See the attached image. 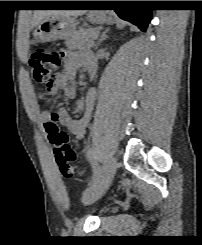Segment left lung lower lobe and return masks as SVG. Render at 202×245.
I'll return each mask as SVG.
<instances>
[{
	"mask_svg": "<svg viewBox=\"0 0 202 245\" xmlns=\"http://www.w3.org/2000/svg\"><path fill=\"white\" fill-rule=\"evenodd\" d=\"M129 2L130 1L117 2L118 7L114 10L119 17L135 24L142 31H145L151 20V10L144 8H128L127 5ZM98 3V1H86L85 5L94 6Z\"/></svg>",
	"mask_w": 202,
	"mask_h": 245,
	"instance_id": "0a47b994",
	"label": "left lung lower lobe"
}]
</instances>
